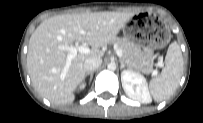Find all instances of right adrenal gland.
Masks as SVG:
<instances>
[{
  "mask_svg": "<svg viewBox=\"0 0 203 123\" xmlns=\"http://www.w3.org/2000/svg\"><path fill=\"white\" fill-rule=\"evenodd\" d=\"M93 74H94V71L86 72V76L90 75V82H91L92 79H93Z\"/></svg>",
  "mask_w": 203,
  "mask_h": 123,
  "instance_id": "obj_1",
  "label": "right adrenal gland"
}]
</instances>
